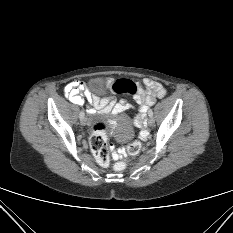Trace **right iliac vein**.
I'll use <instances>...</instances> for the list:
<instances>
[{
  "mask_svg": "<svg viewBox=\"0 0 233 233\" xmlns=\"http://www.w3.org/2000/svg\"><path fill=\"white\" fill-rule=\"evenodd\" d=\"M80 121H81L82 125H86L87 124V119L85 118V116L83 118H81Z\"/></svg>",
  "mask_w": 233,
  "mask_h": 233,
  "instance_id": "right-iliac-vein-1",
  "label": "right iliac vein"
}]
</instances>
